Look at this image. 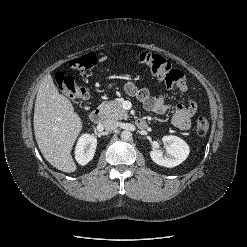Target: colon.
Here are the masks:
<instances>
[{"instance_id":"1","label":"colon","mask_w":247,"mask_h":247,"mask_svg":"<svg viewBox=\"0 0 247 247\" xmlns=\"http://www.w3.org/2000/svg\"><path fill=\"white\" fill-rule=\"evenodd\" d=\"M135 62L145 66L148 70L167 85L172 86L184 79V74L173 68L172 65L161 55L144 51L137 54L134 58ZM96 58L92 53L82 55L69 62V66L81 73H86L95 64ZM56 83L62 94L79 101H86L90 97L88 89L77 84L72 74L58 72L56 74ZM195 129L198 135L204 136L209 129V120L207 116L201 114L196 117Z\"/></svg>"}]
</instances>
